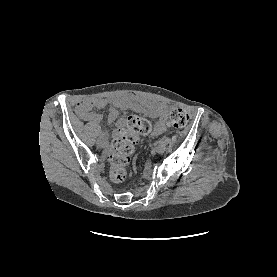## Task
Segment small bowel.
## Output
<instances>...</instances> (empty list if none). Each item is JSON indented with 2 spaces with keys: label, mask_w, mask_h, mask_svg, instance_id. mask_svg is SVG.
Returning a JSON list of instances; mask_svg holds the SVG:
<instances>
[{
  "label": "small bowel",
  "mask_w": 277,
  "mask_h": 277,
  "mask_svg": "<svg viewBox=\"0 0 277 277\" xmlns=\"http://www.w3.org/2000/svg\"><path fill=\"white\" fill-rule=\"evenodd\" d=\"M109 104H111L112 106L110 107L108 112L107 125L115 123V134H118V132L124 126V120L122 118H118V109H131L137 112L147 111L149 115L156 118L157 121L150 133L152 137L158 136L165 131V120L168 112L167 106L163 103L146 101L134 95H120L111 99L86 98L77 103L76 113L84 121L101 123L103 121L102 115L93 112L92 109L104 108Z\"/></svg>",
  "instance_id": "c3829d8e"
}]
</instances>
